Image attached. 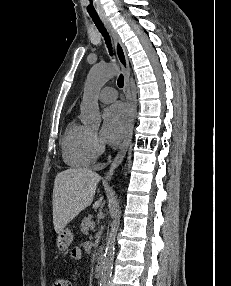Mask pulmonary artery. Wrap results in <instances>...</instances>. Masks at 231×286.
Here are the masks:
<instances>
[{
  "label": "pulmonary artery",
  "mask_w": 231,
  "mask_h": 286,
  "mask_svg": "<svg viewBox=\"0 0 231 286\" xmlns=\"http://www.w3.org/2000/svg\"><path fill=\"white\" fill-rule=\"evenodd\" d=\"M118 94L113 87H104L98 94L101 102L110 103L116 100Z\"/></svg>",
  "instance_id": "pulmonary-artery-1"
}]
</instances>
